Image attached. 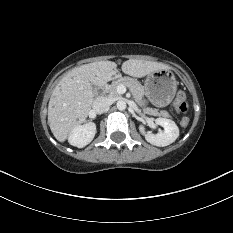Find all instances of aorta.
I'll return each mask as SVG.
<instances>
[{
  "label": "aorta",
  "instance_id": "obj_1",
  "mask_svg": "<svg viewBox=\"0 0 233 233\" xmlns=\"http://www.w3.org/2000/svg\"><path fill=\"white\" fill-rule=\"evenodd\" d=\"M118 110H125L126 109V102L124 100H119L116 104Z\"/></svg>",
  "mask_w": 233,
  "mask_h": 233
}]
</instances>
